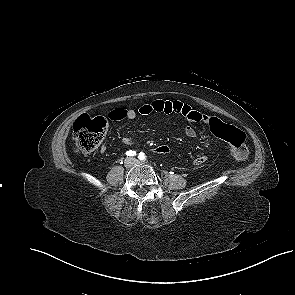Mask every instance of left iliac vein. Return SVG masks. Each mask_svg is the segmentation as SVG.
<instances>
[{"mask_svg":"<svg viewBox=\"0 0 295 295\" xmlns=\"http://www.w3.org/2000/svg\"><path fill=\"white\" fill-rule=\"evenodd\" d=\"M132 160H133L134 164H138L139 163V161L137 159H132Z\"/></svg>","mask_w":295,"mask_h":295,"instance_id":"obj_1","label":"left iliac vein"}]
</instances>
